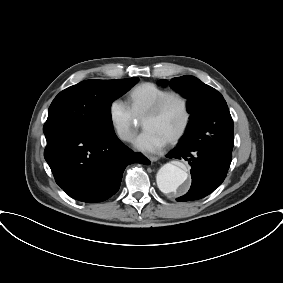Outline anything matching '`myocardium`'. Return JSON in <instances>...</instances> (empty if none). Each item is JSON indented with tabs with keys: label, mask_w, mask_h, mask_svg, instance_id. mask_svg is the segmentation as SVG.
I'll return each mask as SVG.
<instances>
[{
	"label": "myocardium",
	"mask_w": 283,
	"mask_h": 283,
	"mask_svg": "<svg viewBox=\"0 0 283 283\" xmlns=\"http://www.w3.org/2000/svg\"><path fill=\"white\" fill-rule=\"evenodd\" d=\"M171 99H178L182 103L183 110H184V120L180 127V129L177 131L176 134H174L170 139L167 140L168 143L173 144L179 141L186 131L188 130V127L191 122L192 118V111L190 106L189 99L181 92L178 91H169L166 94H164L145 114L143 118V122L146 119L152 118L157 116L166 106V104Z\"/></svg>",
	"instance_id": "1"
}]
</instances>
